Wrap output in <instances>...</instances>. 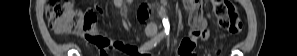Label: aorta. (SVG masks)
Masks as SVG:
<instances>
[{"label":"aorta","instance_id":"762f6f07","mask_svg":"<svg viewBox=\"0 0 297 56\" xmlns=\"http://www.w3.org/2000/svg\"><path fill=\"white\" fill-rule=\"evenodd\" d=\"M158 14H159L160 18H162L164 30L166 32L169 31V27H170L169 20L166 17V15L164 14L163 10L162 9H159Z\"/></svg>","mask_w":297,"mask_h":56}]
</instances>
